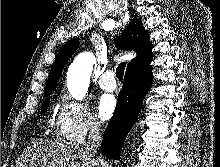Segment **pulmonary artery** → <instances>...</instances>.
Returning a JSON list of instances; mask_svg holds the SVG:
<instances>
[{"label":"pulmonary artery","instance_id":"obj_1","mask_svg":"<svg viewBox=\"0 0 220 167\" xmlns=\"http://www.w3.org/2000/svg\"><path fill=\"white\" fill-rule=\"evenodd\" d=\"M98 84L105 91H114L117 87L115 73L112 70L103 72L98 79Z\"/></svg>","mask_w":220,"mask_h":167}]
</instances>
